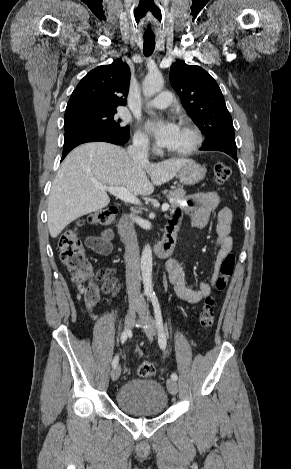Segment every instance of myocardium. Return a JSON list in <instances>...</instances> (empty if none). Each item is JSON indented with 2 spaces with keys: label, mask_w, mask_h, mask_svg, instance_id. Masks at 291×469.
<instances>
[{
  "label": "myocardium",
  "mask_w": 291,
  "mask_h": 469,
  "mask_svg": "<svg viewBox=\"0 0 291 469\" xmlns=\"http://www.w3.org/2000/svg\"><path fill=\"white\" fill-rule=\"evenodd\" d=\"M180 126H184L188 128L193 136V140L189 146H187L184 149L180 150H169L167 149V153L170 155H175V156H188L194 153L202 144V134L199 130V128L190 120V119H182L180 121Z\"/></svg>",
  "instance_id": "obj_1"
}]
</instances>
